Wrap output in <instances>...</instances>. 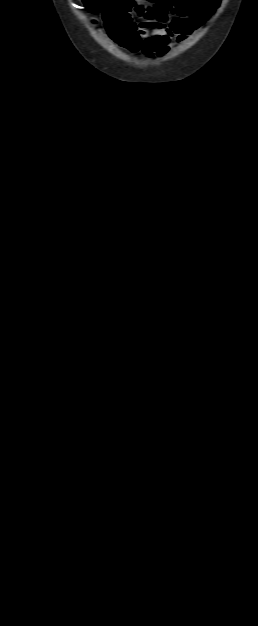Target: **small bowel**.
Here are the masks:
<instances>
[{
  "label": "small bowel",
  "instance_id": "small-bowel-1",
  "mask_svg": "<svg viewBox=\"0 0 258 626\" xmlns=\"http://www.w3.org/2000/svg\"><path fill=\"white\" fill-rule=\"evenodd\" d=\"M97 1V0H93ZM221 0H175L160 15L136 25L119 0H104L101 8L106 30L121 47L162 57L172 41H184L216 11ZM130 26H133L132 28Z\"/></svg>",
  "mask_w": 258,
  "mask_h": 626
}]
</instances>
